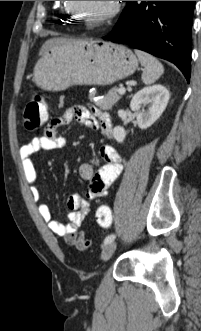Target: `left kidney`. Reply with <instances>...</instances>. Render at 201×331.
<instances>
[{"instance_id": "left-kidney-1", "label": "left kidney", "mask_w": 201, "mask_h": 331, "mask_svg": "<svg viewBox=\"0 0 201 331\" xmlns=\"http://www.w3.org/2000/svg\"><path fill=\"white\" fill-rule=\"evenodd\" d=\"M169 91L161 84L143 88L137 92L131 102L130 108L135 112L140 129H147L162 115L168 104ZM113 136L117 142L124 141L126 132L123 127L116 126Z\"/></svg>"}]
</instances>
